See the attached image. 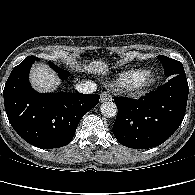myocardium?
<instances>
[{"label": "myocardium", "mask_w": 195, "mask_h": 195, "mask_svg": "<svg viewBox=\"0 0 195 195\" xmlns=\"http://www.w3.org/2000/svg\"><path fill=\"white\" fill-rule=\"evenodd\" d=\"M156 81V75L152 72L146 71L135 83L133 90L137 93H145L156 84Z\"/></svg>", "instance_id": "f54148a6"}]
</instances>
